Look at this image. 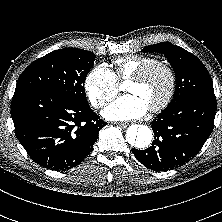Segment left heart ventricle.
I'll use <instances>...</instances> for the list:
<instances>
[{"instance_id": "b2bd125f", "label": "left heart ventricle", "mask_w": 222, "mask_h": 222, "mask_svg": "<svg viewBox=\"0 0 222 222\" xmlns=\"http://www.w3.org/2000/svg\"><path fill=\"white\" fill-rule=\"evenodd\" d=\"M169 77L167 72L156 67L140 82H127L126 90L138 95L147 105L148 109L158 104L167 92Z\"/></svg>"}]
</instances>
